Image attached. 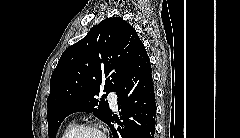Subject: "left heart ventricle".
<instances>
[{
    "label": "left heart ventricle",
    "instance_id": "left-heart-ventricle-1",
    "mask_svg": "<svg viewBox=\"0 0 240 138\" xmlns=\"http://www.w3.org/2000/svg\"><path fill=\"white\" fill-rule=\"evenodd\" d=\"M78 138H101L100 134L95 132V131H91V130H87L82 132Z\"/></svg>",
    "mask_w": 240,
    "mask_h": 138
}]
</instances>
